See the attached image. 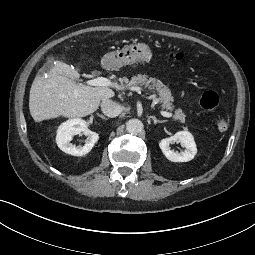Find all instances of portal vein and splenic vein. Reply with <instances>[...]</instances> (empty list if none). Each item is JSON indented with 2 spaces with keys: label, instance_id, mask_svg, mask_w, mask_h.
Returning a JSON list of instances; mask_svg holds the SVG:
<instances>
[{
  "label": "portal vein and splenic vein",
  "instance_id": "portal-vein-and-splenic-vein-1",
  "mask_svg": "<svg viewBox=\"0 0 255 255\" xmlns=\"http://www.w3.org/2000/svg\"><path fill=\"white\" fill-rule=\"evenodd\" d=\"M87 84L90 86H105V87H112V88L120 89V86L117 83L111 82L109 79L104 78V77H97L96 79L89 80V81H87ZM133 90L139 91L140 89H139V87H137ZM153 103L157 104L158 100L154 99ZM160 113L164 117L172 116V113H169V112H166L163 110H161Z\"/></svg>",
  "mask_w": 255,
  "mask_h": 255
}]
</instances>
